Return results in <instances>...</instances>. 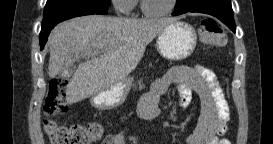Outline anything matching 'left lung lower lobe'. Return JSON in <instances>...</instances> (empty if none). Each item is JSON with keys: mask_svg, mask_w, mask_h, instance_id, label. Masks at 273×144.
Instances as JSON below:
<instances>
[{"mask_svg": "<svg viewBox=\"0 0 273 144\" xmlns=\"http://www.w3.org/2000/svg\"><path fill=\"white\" fill-rule=\"evenodd\" d=\"M187 12L212 15L220 19L233 32L236 31L230 0H188L184 6L175 8L172 15L177 16Z\"/></svg>", "mask_w": 273, "mask_h": 144, "instance_id": "left-lung-lower-lobe-1", "label": "left lung lower lobe"}]
</instances>
